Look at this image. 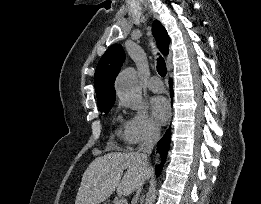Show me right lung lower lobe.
Wrapping results in <instances>:
<instances>
[{
    "mask_svg": "<svg viewBox=\"0 0 261 204\" xmlns=\"http://www.w3.org/2000/svg\"><path fill=\"white\" fill-rule=\"evenodd\" d=\"M172 80L170 79L169 80V86H170V93H171V99L173 97V88H172ZM170 138H171V128H169L165 135L161 138V140L158 142V145H157V151L158 153L161 154L162 156V163L156 168L155 172H156V175L159 176L161 171H162V168H163V165H164V162L166 160V157H167V153H168V150H169V146H170Z\"/></svg>",
    "mask_w": 261,
    "mask_h": 204,
    "instance_id": "right-lung-lower-lobe-1",
    "label": "right lung lower lobe"
}]
</instances>
